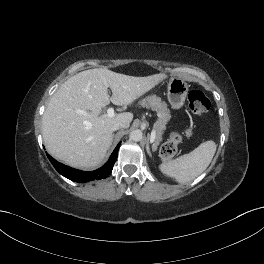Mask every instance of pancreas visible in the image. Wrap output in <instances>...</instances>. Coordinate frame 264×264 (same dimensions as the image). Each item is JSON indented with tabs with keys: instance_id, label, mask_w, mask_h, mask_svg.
<instances>
[{
	"instance_id": "1",
	"label": "pancreas",
	"mask_w": 264,
	"mask_h": 264,
	"mask_svg": "<svg viewBox=\"0 0 264 264\" xmlns=\"http://www.w3.org/2000/svg\"><path fill=\"white\" fill-rule=\"evenodd\" d=\"M139 104L142 107L151 108L157 112L158 120L155 123L156 137L153 141V150H156L162 141L163 131L166 129V124L171 118L170 110L167 108V104L156 95L147 96L142 99Z\"/></svg>"
}]
</instances>
